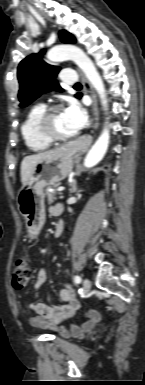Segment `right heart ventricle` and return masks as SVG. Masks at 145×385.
I'll return each instance as SVG.
<instances>
[{
  "label": "right heart ventricle",
  "instance_id": "obj_1",
  "mask_svg": "<svg viewBox=\"0 0 145 385\" xmlns=\"http://www.w3.org/2000/svg\"><path fill=\"white\" fill-rule=\"evenodd\" d=\"M45 109L44 104H35L29 109L21 125L24 144L28 150L33 152L43 151L50 145V142L39 134L37 128L38 120Z\"/></svg>",
  "mask_w": 145,
  "mask_h": 385
}]
</instances>
